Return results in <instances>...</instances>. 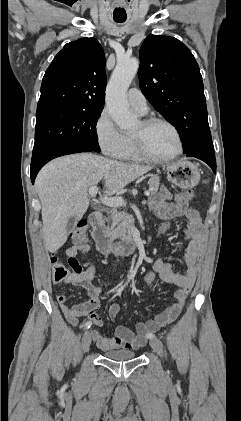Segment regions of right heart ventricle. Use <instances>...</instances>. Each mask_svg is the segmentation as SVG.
I'll return each mask as SVG.
<instances>
[{
  "instance_id": "e07e8e85",
  "label": "right heart ventricle",
  "mask_w": 241,
  "mask_h": 421,
  "mask_svg": "<svg viewBox=\"0 0 241 421\" xmlns=\"http://www.w3.org/2000/svg\"><path fill=\"white\" fill-rule=\"evenodd\" d=\"M123 134V143L117 158L126 161H142L144 160L136 151L131 133L125 132Z\"/></svg>"
}]
</instances>
